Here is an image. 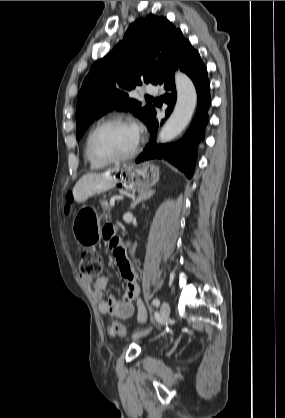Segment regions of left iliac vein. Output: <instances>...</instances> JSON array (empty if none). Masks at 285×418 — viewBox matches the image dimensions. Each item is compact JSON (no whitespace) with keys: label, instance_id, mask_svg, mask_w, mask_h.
<instances>
[{"label":"left iliac vein","instance_id":"4c4485c4","mask_svg":"<svg viewBox=\"0 0 285 418\" xmlns=\"http://www.w3.org/2000/svg\"><path fill=\"white\" fill-rule=\"evenodd\" d=\"M169 316H170V306H169L168 302L164 301V302H162V304L160 306V313H159L160 320L162 322H165V321H167L169 319ZM151 330H152V328H148V329H145V330L136 332L133 335V338H141V337H144Z\"/></svg>","mask_w":285,"mask_h":418}]
</instances>
